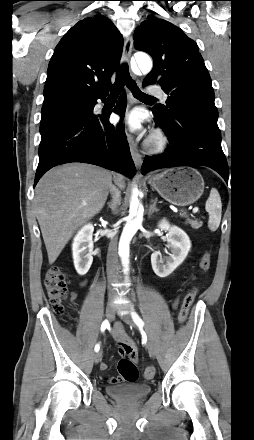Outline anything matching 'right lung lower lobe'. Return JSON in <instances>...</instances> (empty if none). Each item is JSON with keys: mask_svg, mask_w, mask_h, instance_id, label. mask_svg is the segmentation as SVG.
<instances>
[{"mask_svg": "<svg viewBox=\"0 0 254 440\" xmlns=\"http://www.w3.org/2000/svg\"><path fill=\"white\" fill-rule=\"evenodd\" d=\"M106 96H83L87 109L72 112L42 136L34 187L49 169L70 162L98 165L128 177L135 175L123 125L110 124L109 114H93L97 99L103 101ZM125 103L123 94L114 109L121 119L125 114Z\"/></svg>", "mask_w": 254, "mask_h": 440, "instance_id": "right-lung-lower-lobe-1", "label": "right lung lower lobe"}]
</instances>
